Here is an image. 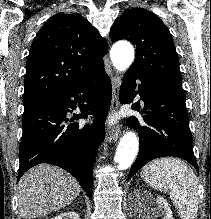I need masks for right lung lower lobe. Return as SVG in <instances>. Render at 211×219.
Segmentation results:
<instances>
[{
  "instance_id": "obj_1",
  "label": "right lung lower lobe",
  "mask_w": 211,
  "mask_h": 219,
  "mask_svg": "<svg viewBox=\"0 0 211 219\" xmlns=\"http://www.w3.org/2000/svg\"><path fill=\"white\" fill-rule=\"evenodd\" d=\"M111 98V82L103 68L64 92L24 108L18 180L31 167L50 163L71 173L91 199L94 159L104 139V120ZM77 107L81 114H75L70 121L89 114L94 117L91 126L68 124L67 113Z\"/></svg>"
}]
</instances>
